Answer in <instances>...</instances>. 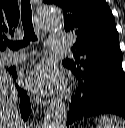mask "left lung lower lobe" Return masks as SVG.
<instances>
[{
  "label": "left lung lower lobe",
  "instance_id": "obj_1",
  "mask_svg": "<svg viewBox=\"0 0 125 128\" xmlns=\"http://www.w3.org/2000/svg\"><path fill=\"white\" fill-rule=\"evenodd\" d=\"M73 72L79 85L69 104L67 125L84 117L104 113L116 114L125 119L124 73H112L88 83L78 72Z\"/></svg>",
  "mask_w": 125,
  "mask_h": 128
}]
</instances>
